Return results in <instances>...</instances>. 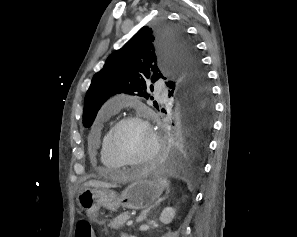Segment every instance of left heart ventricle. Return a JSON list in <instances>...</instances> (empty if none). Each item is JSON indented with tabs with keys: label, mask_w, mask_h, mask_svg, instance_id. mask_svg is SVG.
Wrapping results in <instances>:
<instances>
[{
	"label": "left heart ventricle",
	"mask_w": 297,
	"mask_h": 237,
	"mask_svg": "<svg viewBox=\"0 0 297 237\" xmlns=\"http://www.w3.org/2000/svg\"><path fill=\"white\" fill-rule=\"evenodd\" d=\"M115 150L125 159L135 161L144 158L151 149V138L147 129L139 123L122 125L113 135Z\"/></svg>",
	"instance_id": "1"
}]
</instances>
